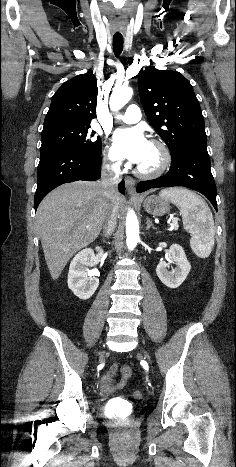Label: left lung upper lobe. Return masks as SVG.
<instances>
[{
    "label": "left lung upper lobe",
    "mask_w": 236,
    "mask_h": 467,
    "mask_svg": "<svg viewBox=\"0 0 236 467\" xmlns=\"http://www.w3.org/2000/svg\"><path fill=\"white\" fill-rule=\"evenodd\" d=\"M138 85L147 120L172 157L190 142L207 140L199 101L181 73L149 67L141 73Z\"/></svg>",
    "instance_id": "5c2ea615"
}]
</instances>
